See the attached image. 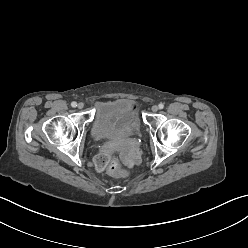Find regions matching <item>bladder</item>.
I'll return each mask as SVG.
<instances>
[{"mask_svg": "<svg viewBox=\"0 0 248 248\" xmlns=\"http://www.w3.org/2000/svg\"><path fill=\"white\" fill-rule=\"evenodd\" d=\"M140 129L141 120L133 101L117 98L97 104L91 129L95 139H114Z\"/></svg>", "mask_w": 248, "mask_h": 248, "instance_id": "obj_1", "label": "bladder"}]
</instances>
